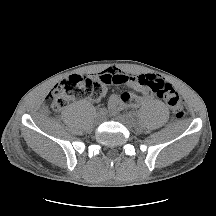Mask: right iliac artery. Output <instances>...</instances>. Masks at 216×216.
<instances>
[{
	"label": "right iliac artery",
	"mask_w": 216,
	"mask_h": 216,
	"mask_svg": "<svg viewBox=\"0 0 216 216\" xmlns=\"http://www.w3.org/2000/svg\"><path fill=\"white\" fill-rule=\"evenodd\" d=\"M98 113L104 116L108 113V110L106 108H101Z\"/></svg>",
	"instance_id": "82829eb1"
}]
</instances>
